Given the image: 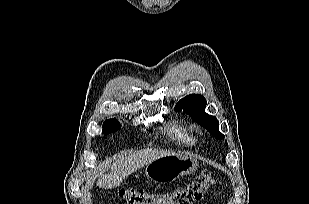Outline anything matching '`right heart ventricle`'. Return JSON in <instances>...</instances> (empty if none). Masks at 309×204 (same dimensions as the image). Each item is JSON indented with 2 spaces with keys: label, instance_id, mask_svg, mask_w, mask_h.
Instances as JSON below:
<instances>
[{
  "label": "right heart ventricle",
  "instance_id": "right-heart-ventricle-1",
  "mask_svg": "<svg viewBox=\"0 0 309 204\" xmlns=\"http://www.w3.org/2000/svg\"><path fill=\"white\" fill-rule=\"evenodd\" d=\"M169 132L177 139L187 143L191 144L194 142V137L192 133V129L186 125L173 123L169 127Z\"/></svg>",
  "mask_w": 309,
  "mask_h": 204
}]
</instances>
